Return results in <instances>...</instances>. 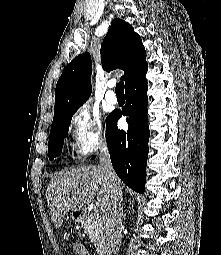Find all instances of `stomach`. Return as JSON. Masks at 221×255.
Masks as SVG:
<instances>
[{"label":"stomach","mask_w":221,"mask_h":255,"mask_svg":"<svg viewBox=\"0 0 221 255\" xmlns=\"http://www.w3.org/2000/svg\"><path fill=\"white\" fill-rule=\"evenodd\" d=\"M72 217L76 221H81V219H82V217H81V215H80L78 210H75V211L72 212Z\"/></svg>","instance_id":"0dacf381"}]
</instances>
